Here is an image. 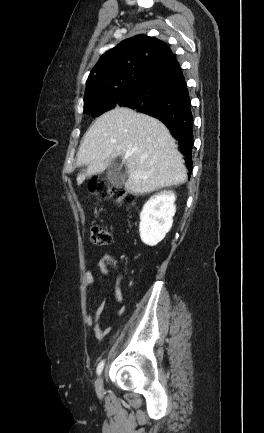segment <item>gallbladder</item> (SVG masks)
<instances>
[{
    "label": "gallbladder",
    "mask_w": 264,
    "mask_h": 433,
    "mask_svg": "<svg viewBox=\"0 0 264 433\" xmlns=\"http://www.w3.org/2000/svg\"><path fill=\"white\" fill-rule=\"evenodd\" d=\"M107 180L115 187L121 188L124 184L123 177L120 174V167L115 161H111L107 167Z\"/></svg>",
    "instance_id": "obj_1"
}]
</instances>
